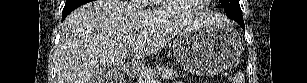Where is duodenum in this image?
Returning <instances> with one entry per match:
<instances>
[{
	"instance_id": "duodenum-1",
	"label": "duodenum",
	"mask_w": 307,
	"mask_h": 83,
	"mask_svg": "<svg viewBox=\"0 0 307 83\" xmlns=\"http://www.w3.org/2000/svg\"><path fill=\"white\" fill-rule=\"evenodd\" d=\"M127 73L130 74V75H134L136 73V71L133 69L132 66H129L127 68Z\"/></svg>"
}]
</instances>
